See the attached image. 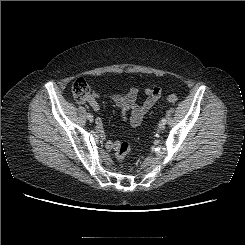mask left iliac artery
<instances>
[{"label":"left iliac artery","instance_id":"44dca946","mask_svg":"<svg viewBox=\"0 0 245 245\" xmlns=\"http://www.w3.org/2000/svg\"><path fill=\"white\" fill-rule=\"evenodd\" d=\"M161 121H162L164 124H166V122H167V120H166L165 118H163Z\"/></svg>","mask_w":245,"mask_h":245}]
</instances>
